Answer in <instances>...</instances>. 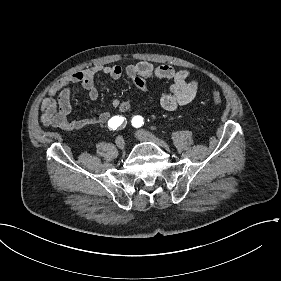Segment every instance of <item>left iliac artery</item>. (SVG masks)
<instances>
[{
  "mask_svg": "<svg viewBox=\"0 0 281 281\" xmlns=\"http://www.w3.org/2000/svg\"><path fill=\"white\" fill-rule=\"evenodd\" d=\"M143 123H144L143 118L139 115L134 116L132 118V125L136 128L141 127Z\"/></svg>",
  "mask_w": 281,
  "mask_h": 281,
  "instance_id": "left-iliac-artery-1",
  "label": "left iliac artery"
}]
</instances>
